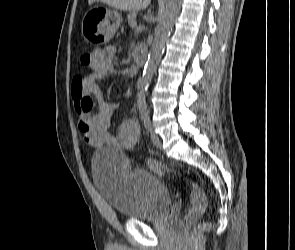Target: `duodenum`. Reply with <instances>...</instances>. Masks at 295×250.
Segmentation results:
<instances>
[{
	"instance_id": "duodenum-1",
	"label": "duodenum",
	"mask_w": 295,
	"mask_h": 250,
	"mask_svg": "<svg viewBox=\"0 0 295 250\" xmlns=\"http://www.w3.org/2000/svg\"><path fill=\"white\" fill-rule=\"evenodd\" d=\"M134 57L138 66H142L146 60L147 50L144 47H135L134 48Z\"/></svg>"
}]
</instances>
